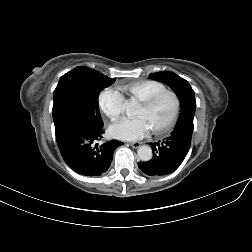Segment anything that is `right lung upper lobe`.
I'll list each match as a JSON object with an SVG mask.
<instances>
[{"label":"right lung upper lobe","mask_w":252,"mask_h":252,"mask_svg":"<svg viewBox=\"0 0 252 252\" xmlns=\"http://www.w3.org/2000/svg\"><path fill=\"white\" fill-rule=\"evenodd\" d=\"M88 69H90V68L84 67V66H79V67L74 68V69L71 70V71H80V70H88Z\"/></svg>","instance_id":"right-lung-upper-lobe-1"}]
</instances>
